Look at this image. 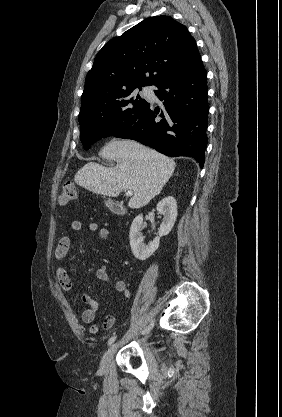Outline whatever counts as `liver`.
Masks as SVG:
<instances>
[{
  "mask_svg": "<svg viewBox=\"0 0 282 417\" xmlns=\"http://www.w3.org/2000/svg\"><path fill=\"white\" fill-rule=\"evenodd\" d=\"M101 154L116 160V166L87 162L77 170L74 180L96 194L118 196L122 190H133L130 209H141L161 192L175 170L173 158L160 154L136 140H110Z\"/></svg>",
  "mask_w": 282,
  "mask_h": 417,
  "instance_id": "1",
  "label": "liver"
}]
</instances>
